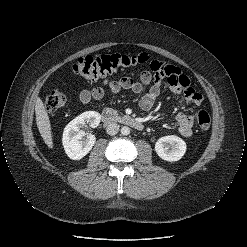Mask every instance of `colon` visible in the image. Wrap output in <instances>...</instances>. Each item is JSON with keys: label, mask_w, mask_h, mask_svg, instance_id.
<instances>
[{"label": "colon", "mask_w": 247, "mask_h": 247, "mask_svg": "<svg viewBox=\"0 0 247 247\" xmlns=\"http://www.w3.org/2000/svg\"><path fill=\"white\" fill-rule=\"evenodd\" d=\"M149 59L150 57L146 53L133 56L121 54L100 55L96 57L86 56L78 59L73 69L76 74L83 78L89 81H97L118 72L134 69L148 62ZM66 102V95L58 89H53L45 99V107L48 112L52 113L62 108ZM197 124L202 130L210 127L211 117L207 111L202 110L197 114Z\"/></svg>", "instance_id": "1"}]
</instances>
